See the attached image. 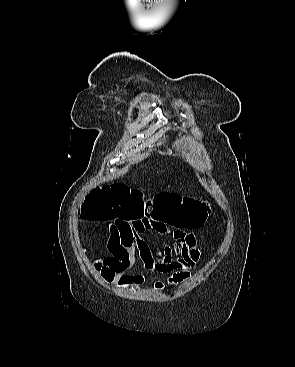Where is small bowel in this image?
<instances>
[{
	"instance_id": "small-bowel-1",
	"label": "small bowel",
	"mask_w": 295,
	"mask_h": 367,
	"mask_svg": "<svg viewBox=\"0 0 295 367\" xmlns=\"http://www.w3.org/2000/svg\"><path fill=\"white\" fill-rule=\"evenodd\" d=\"M108 230L109 255L102 261L101 276L121 288H138L147 279L144 274H130L136 264L137 253L148 273L169 275L167 282L154 283L157 290L188 279L190 270L201 258L195 233L166 220L113 221ZM147 231L170 236L172 245L153 252L142 237Z\"/></svg>"
}]
</instances>
